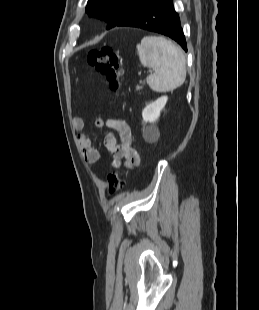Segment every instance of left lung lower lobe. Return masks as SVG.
Instances as JSON below:
<instances>
[{"mask_svg":"<svg viewBox=\"0 0 259 310\" xmlns=\"http://www.w3.org/2000/svg\"><path fill=\"white\" fill-rule=\"evenodd\" d=\"M116 26L138 27L166 35L187 51L185 37L173 0H149L129 10Z\"/></svg>","mask_w":259,"mask_h":310,"instance_id":"left-lung-lower-lobe-1","label":"left lung lower lobe"}]
</instances>
